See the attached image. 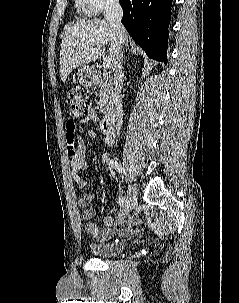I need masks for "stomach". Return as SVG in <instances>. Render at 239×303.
<instances>
[{
    "instance_id": "obj_1",
    "label": "stomach",
    "mask_w": 239,
    "mask_h": 303,
    "mask_svg": "<svg viewBox=\"0 0 239 303\" xmlns=\"http://www.w3.org/2000/svg\"><path fill=\"white\" fill-rule=\"evenodd\" d=\"M78 82L80 85L84 87H89L93 85L94 80L92 77V70L88 66L84 65L82 67H79L77 72Z\"/></svg>"
}]
</instances>
